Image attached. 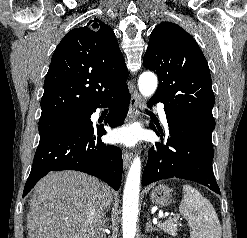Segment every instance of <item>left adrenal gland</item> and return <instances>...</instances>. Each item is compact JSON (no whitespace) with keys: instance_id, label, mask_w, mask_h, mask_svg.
Wrapping results in <instances>:
<instances>
[{"instance_id":"left-adrenal-gland-1","label":"left adrenal gland","mask_w":247,"mask_h":238,"mask_svg":"<svg viewBox=\"0 0 247 238\" xmlns=\"http://www.w3.org/2000/svg\"><path fill=\"white\" fill-rule=\"evenodd\" d=\"M147 219H148V222L146 223V227H145L146 232L158 231L157 228L152 226L150 215H148Z\"/></svg>"}]
</instances>
